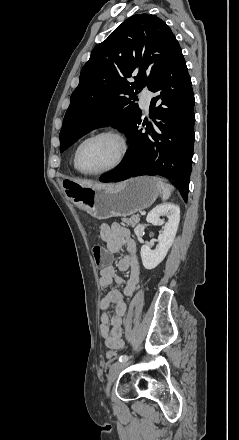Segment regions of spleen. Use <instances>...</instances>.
I'll return each instance as SVG.
<instances>
[{
    "instance_id": "1",
    "label": "spleen",
    "mask_w": 239,
    "mask_h": 440,
    "mask_svg": "<svg viewBox=\"0 0 239 440\" xmlns=\"http://www.w3.org/2000/svg\"><path fill=\"white\" fill-rule=\"evenodd\" d=\"M157 182H159L160 184V188L162 190V200H169L170 196H171V192H173L174 188L173 186H170V184H164V182H162L161 178H156Z\"/></svg>"
}]
</instances>
